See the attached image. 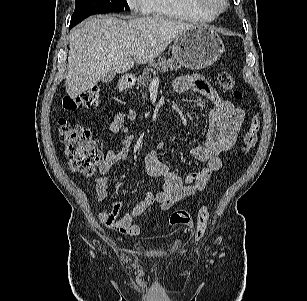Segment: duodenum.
<instances>
[{
    "mask_svg": "<svg viewBox=\"0 0 307 301\" xmlns=\"http://www.w3.org/2000/svg\"><path fill=\"white\" fill-rule=\"evenodd\" d=\"M133 83H134V78L133 77H130V78H127L125 80V86L126 88H130L133 86Z\"/></svg>",
    "mask_w": 307,
    "mask_h": 301,
    "instance_id": "duodenum-1",
    "label": "duodenum"
}]
</instances>
